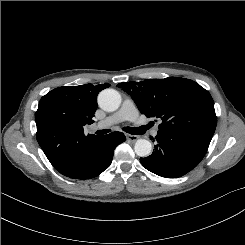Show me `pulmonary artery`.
Instances as JSON below:
<instances>
[{"label": "pulmonary artery", "instance_id": "obj_1", "mask_svg": "<svg viewBox=\"0 0 245 245\" xmlns=\"http://www.w3.org/2000/svg\"><path fill=\"white\" fill-rule=\"evenodd\" d=\"M138 118V112L133 104V102L129 99H126L121 108L114 113L113 115L107 117L106 119L99 121L96 124L97 128H105L113 124L120 123L122 121H135ZM158 129L155 128L153 130V135H157Z\"/></svg>", "mask_w": 245, "mask_h": 245}]
</instances>
